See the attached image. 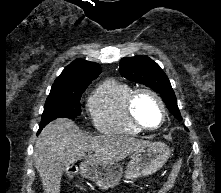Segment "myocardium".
Here are the masks:
<instances>
[{"mask_svg":"<svg viewBox=\"0 0 221 193\" xmlns=\"http://www.w3.org/2000/svg\"><path fill=\"white\" fill-rule=\"evenodd\" d=\"M142 95H149L153 97L160 107L161 119H160L159 124L155 127H149L145 125L136 116V113H135L136 102L139 99V97ZM127 111L133 124L136 125L138 128H140L141 130H145V131H155V130L160 129L166 120V105L163 99L161 98V96L156 91L150 88H139V89L134 90L128 98Z\"/></svg>","mask_w":221,"mask_h":193,"instance_id":"myocardium-1","label":"myocardium"}]
</instances>
